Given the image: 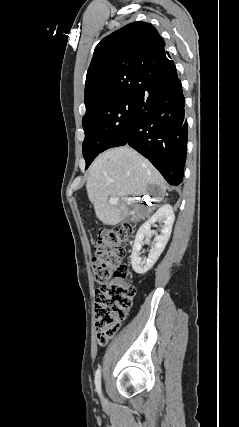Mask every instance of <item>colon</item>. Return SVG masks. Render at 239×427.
<instances>
[{
	"label": "colon",
	"mask_w": 239,
	"mask_h": 427,
	"mask_svg": "<svg viewBox=\"0 0 239 427\" xmlns=\"http://www.w3.org/2000/svg\"><path fill=\"white\" fill-rule=\"evenodd\" d=\"M132 230L126 223L102 229L98 234L92 269L100 285L95 291V328L100 345L114 336L136 292L129 280L130 271L123 263Z\"/></svg>",
	"instance_id": "5ec220e1"
}]
</instances>
